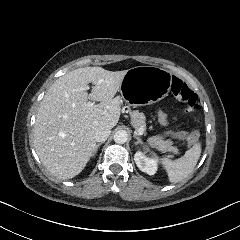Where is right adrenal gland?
I'll return each instance as SVG.
<instances>
[{
  "label": "right adrenal gland",
  "mask_w": 240,
  "mask_h": 240,
  "mask_svg": "<svg viewBox=\"0 0 240 240\" xmlns=\"http://www.w3.org/2000/svg\"><path fill=\"white\" fill-rule=\"evenodd\" d=\"M103 144V142H101V143H98L96 146H95V149H94V151H93V153H92V157H94L95 156V154L97 153V151H98V148L101 146Z\"/></svg>",
  "instance_id": "2a0ac1e0"
}]
</instances>
